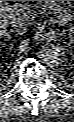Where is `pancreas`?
<instances>
[{
  "instance_id": "1",
  "label": "pancreas",
  "mask_w": 74,
  "mask_h": 122,
  "mask_svg": "<svg viewBox=\"0 0 74 122\" xmlns=\"http://www.w3.org/2000/svg\"><path fill=\"white\" fill-rule=\"evenodd\" d=\"M37 4L43 9L54 11L61 24H66L73 19L72 12L67 8L60 7L57 1H38Z\"/></svg>"
}]
</instances>
